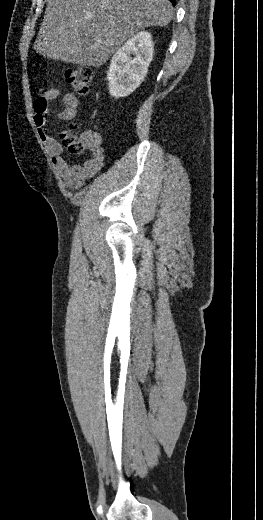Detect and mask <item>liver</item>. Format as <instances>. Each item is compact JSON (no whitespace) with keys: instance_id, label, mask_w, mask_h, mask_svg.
<instances>
[{"instance_id":"obj_1","label":"liver","mask_w":263,"mask_h":520,"mask_svg":"<svg viewBox=\"0 0 263 520\" xmlns=\"http://www.w3.org/2000/svg\"><path fill=\"white\" fill-rule=\"evenodd\" d=\"M172 18L169 0H48L34 49L53 60L99 67L135 33Z\"/></svg>"}]
</instances>
